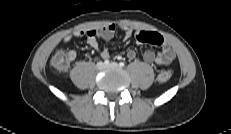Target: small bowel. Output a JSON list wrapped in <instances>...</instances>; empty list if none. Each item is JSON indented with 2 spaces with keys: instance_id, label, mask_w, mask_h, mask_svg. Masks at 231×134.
<instances>
[{
  "instance_id": "c3829d8e",
  "label": "small bowel",
  "mask_w": 231,
  "mask_h": 134,
  "mask_svg": "<svg viewBox=\"0 0 231 134\" xmlns=\"http://www.w3.org/2000/svg\"><path fill=\"white\" fill-rule=\"evenodd\" d=\"M121 29L123 31V37H122L123 40H127L132 36L133 32L128 26L122 25ZM116 30H117V26L113 24L98 30L91 29L87 31H75L73 33L66 35L63 38V42L67 43L71 41L73 38L86 36L87 43L90 47L97 50L102 58H109L110 57L109 50L107 48H99L98 41L112 40L115 37ZM135 37L137 42L140 44L150 43L160 47V51L158 53H155L152 50H146L142 55L143 60L145 62L155 63L157 65H168L175 59L176 54L172 49L171 45L159 33L139 30L136 31ZM67 53L71 61H73L76 58L75 51L69 50ZM127 57L130 60L136 59L137 57L136 51L133 49L129 50L127 52Z\"/></svg>"
}]
</instances>
